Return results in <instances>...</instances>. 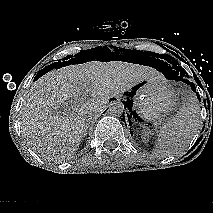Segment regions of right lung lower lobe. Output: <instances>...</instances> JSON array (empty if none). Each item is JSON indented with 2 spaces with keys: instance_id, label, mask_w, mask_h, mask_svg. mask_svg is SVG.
Instances as JSON below:
<instances>
[{
  "instance_id": "1",
  "label": "right lung lower lobe",
  "mask_w": 213,
  "mask_h": 213,
  "mask_svg": "<svg viewBox=\"0 0 213 213\" xmlns=\"http://www.w3.org/2000/svg\"><path fill=\"white\" fill-rule=\"evenodd\" d=\"M66 65V64H62L61 62H58V63H53L49 66H47L46 68H44L43 70H41L40 72H38V74L36 75L35 77V80L38 79V77L42 76L44 73L50 71L51 69H53L54 67L58 66V65ZM59 67V66H58Z\"/></svg>"
}]
</instances>
